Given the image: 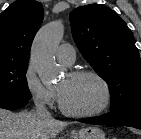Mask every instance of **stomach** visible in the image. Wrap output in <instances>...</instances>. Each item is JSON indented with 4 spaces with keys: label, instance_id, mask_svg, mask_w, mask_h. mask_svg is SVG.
<instances>
[{
    "label": "stomach",
    "instance_id": "stomach-1",
    "mask_svg": "<svg viewBox=\"0 0 141 139\" xmlns=\"http://www.w3.org/2000/svg\"><path fill=\"white\" fill-rule=\"evenodd\" d=\"M73 139H106V137L101 129L95 126H90L74 133Z\"/></svg>",
    "mask_w": 141,
    "mask_h": 139
}]
</instances>
